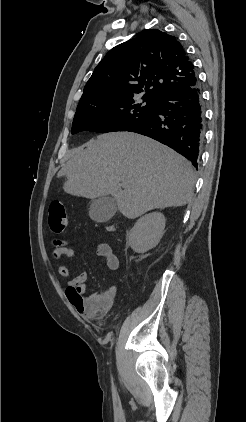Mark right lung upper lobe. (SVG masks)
Wrapping results in <instances>:
<instances>
[{"label":"right lung upper lobe","instance_id":"cb5924a9","mask_svg":"<svg viewBox=\"0 0 246 422\" xmlns=\"http://www.w3.org/2000/svg\"><path fill=\"white\" fill-rule=\"evenodd\" d=\"M197 82L194 66L176 37L148 29L106 54L86 83L78 107L122 96L134 97L144 90L147 92L143 99L154 101Z\"/></svg>","mask_w":246,"mask_h":422}]
</instances>
